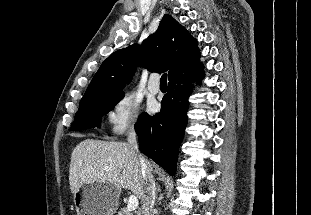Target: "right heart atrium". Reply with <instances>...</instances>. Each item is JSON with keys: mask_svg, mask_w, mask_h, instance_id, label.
<instances>
[{"mask_svg": "<svg viewBox=\"0 0 311 215\" xmlns=\"http://www.w3.org/2000/svg\"><path fill=\"white\" fill-rule=\"evenodd\" d=\"M140 114V105L130 94L121 96L107 115L110 130L113 135L121 136L134 133Z\"/></svg>", "mask_w": 311, "mask_h": 215, "instance_id": "d8ad5b80", "label": "right heart atrium"}]
</instances>
